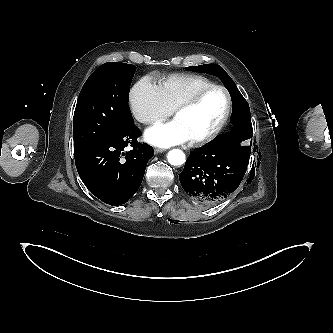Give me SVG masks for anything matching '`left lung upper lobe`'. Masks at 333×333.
I'll return each mask as SVG.
<instances>
[{
    "instance_id": "obj_1",
    "label": "left lung upper lobe",
    "mask_w": 333,
    "mask_h": 333,
    "mask_svg": "<svg viewBox=\"0 0 333 333\" xmlns=\"http://www.w3.org/2000/svg\"><path fill=\"white\" fill-rule=\"evenodd\" d=\"M186 69L188 71L203 72V73H208V74H212V75L219 77L222 80V82L224 83V85L226 86V88L228 89V91L230 92L233 105H235L236 103H241V104H244L246 106V108L249 107L248 103L246 102V100L243 98L242 94L237 89L233 80L230 78V76L225 72V70L221 66L216 65V64H204V65H199V66L187 67ZM234 128L235 127H233V129L231 130L230 133H228L226 135H221L214 142L222 141V142H229L232 144L237 143V145H234V147H236L237 150L239 151V153H241L243 156L249 158L250 152H251V145L244 146V144L241 143L242 141L248 139L249 136L243 135L239 132H235Z\"/></svg>"
}]
</instances>
